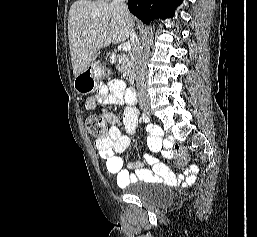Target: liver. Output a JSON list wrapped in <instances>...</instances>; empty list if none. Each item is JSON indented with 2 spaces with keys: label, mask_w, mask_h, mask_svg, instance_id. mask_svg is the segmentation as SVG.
I'll return each instance as SVG.
<instances>
[{
  "label": "liver",
  "mask_w": 257,
  "mask_h": 237,
  "mask_svg": "<svg viewBox=\"0 0 257 237\" xmlns=\"http://www.w3.org/2000/svg\"><path fill=\"white\" fill-rule=\"evenodd\" d=\"M134 23L127 10L112 3L74 2L69 11L68 38L75 77L98 57L101 48L128 39Z\"/></svg>",
  "instance_id": "1"
}]
</instances>
